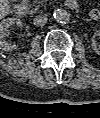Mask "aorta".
I'll list each match as a JSON object with an SVG mask.
<instances>
[{"label":"aorta","mask_w":100,"mask_h":118,"mask_svg":"<svg viewBox=\"0 0 100 118\" xmlns=\"http://www.w3.org/2000/svg\"><path fill=\"white\" fill-rule=\"evenodd\" d=\"M54 18L56 21L66 24L70 21V14L64 9H56L53 13Z\"/></svg>","instance_id":"762f6f07"}]
</instances>
